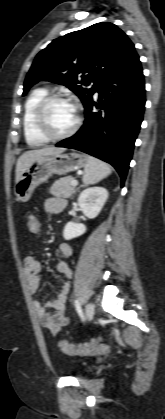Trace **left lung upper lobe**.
<instances>
[{
  "instance_id": "obj_1",
  "label": "left lung upper lobe",
  "mask_w": 165,
  "mask_h": 419,
  "mask_svg": "<svg viewBox=\"0 0 165 419\" xmlns=\"http://www.w3.org/2000/svg\"><path fill=\"white\" fill-rule=\"evenodd\" d=\"M134 44L116 25L101 22L53 40L36 56L23 95L38 81L64 85L82 101H92L101 81L134 51ZM83 73L78 80V74ZM93 86L88 89L83 86Z\"/></svg>"
}]
</instances>
